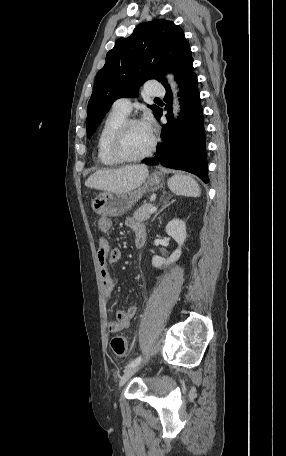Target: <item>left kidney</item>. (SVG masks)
Instances as JSON below:
<instances>
[{
	"mask_svg": "<svg viewBox=\"0 0 286 456\" xmlns=\"http://www.w3.org/2000/svg\"><path fill=\"white\" fill-rule=\"evenodd\" d=\"M165 231L178 243V248L167 259L154 255L152 257V265L156 268H162L165 266L167 267L171 263L177 261L181 256V247L184 244L187 237L186 224L184 221L179 219H173L172 221H170L166 225Z\"/></svg>",
	"mask_w": 286,
	"mask_h": 456,
	"instance_id": "left-kidney-1",
	"label": "left kidney"
}]
</instances>
